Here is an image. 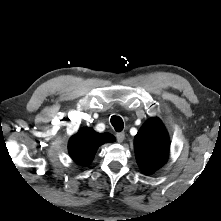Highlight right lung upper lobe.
<instances>
[{"label":"right lung upper lobe","instance_id":"cb5924a9","mask_svg":"<svg viewBox=\"0 0 221 221\" xmlns=\"http://www.w3.org/2000/svg\"><path fill=\"white\" fill-rule=\"evenodd\" d=\"M114 140L115 137L110 133L100 134L92 128H83L70 139L68 144L69 154L77 164L86 166L92 161L100 145Z\"/></svg>","mask_w":221,"mask_h":221}]
</instances>
